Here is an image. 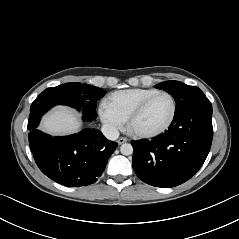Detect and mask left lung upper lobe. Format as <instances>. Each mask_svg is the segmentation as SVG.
I'll use <instances>...</instances> for the list:
<instances>
[{
  "mask_svg": "<svg viewBox=\"0 0 239 239\" xmlns=\"http://www.w3.org/2000/svg\"><path fill=\"white\" fill-rule=\"evenodd\" d=\"M172 95L176 102L175 115L201 104L210 103L204 93L196 86H189L179 81H165L155 86Z\"/></svg>",
  "mask_w": 239,
  "mask_h": 239,
  "instance_id": "left-lung-upper-lobe-1",
  "label": "left lung upper lobe"
}]
</instances>
